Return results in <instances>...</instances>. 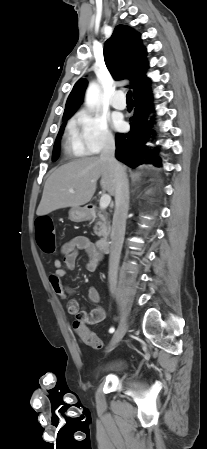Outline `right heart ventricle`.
<instances>
[{"instance_id": "e07e8e85", "label": "right heart ventricle", "mask_w": 207, "mask_h": 449, "mask_svg": "<svg viewBox=\"0 0 207 449\" xmlns=\"http://www.w3.org/2000/svg\"><path fill=\"white\" fill-rule=\"evenodd\" d=\"M64 150L65 153L70 157H82L87 154L84 147L79 141L73 122H71L68 126L65 137Z\"/></svg>"}]
</instances>
